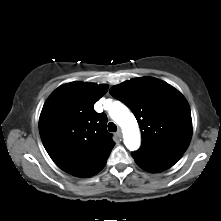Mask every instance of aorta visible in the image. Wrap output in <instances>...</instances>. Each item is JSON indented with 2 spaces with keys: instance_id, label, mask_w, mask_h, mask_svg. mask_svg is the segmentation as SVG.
Here are the masks:
<instances>
[{
  "instance_id": "obj_1",
  "label": "aorta",
  "mask_w": 221,
  "mask_h": 221,
  "mask_svg": "<svg viewBox=\"0 0 221 221\" xmlns=\"http://www.w3.org/2000/svg\"><path fill=\"white\" fill-rule=\"evenodd\" d=\"M111 118L122 128L124 144L130 151L140 147V131L134 115L120 102H114L109 110Z\"/></svg>"
}]
</instances>
